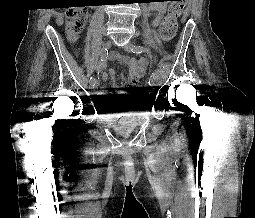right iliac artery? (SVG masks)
I'll return each mask as SVG.
<instances>
[{"label":"right iliac artery","instance_id":"obj_1","mask_svg":"<svg viewBox=\"0 0 255 218\" xmlns=\"http://www.w3.org/2000/svg\"><path fill=\"white\" fill-rule=\"evenodd\" d=\"M107 55H108V50L107 49L102 50V52H101V59H100V61L98 63V66H97V70L98 71H100L102 69V66L106 62ZM94 80H96V79L91 76L90 77V83L93 82Z\"/></svg>","mask_w":255,"mask_h":218}]
</instances>
